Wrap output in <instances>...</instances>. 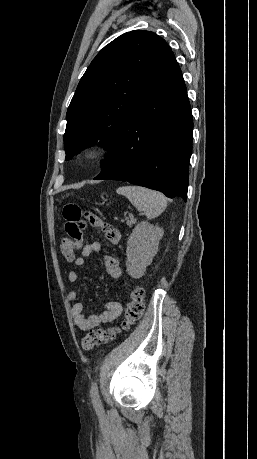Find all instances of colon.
Segmentation results:
<instances>
[{
	"instance_id": "1",
	"label": "colon",
	"mask_w": 257,
	"mask_h": 459,
	"mask_svg": "<svg viewBox=\"0 0 257 459\" xmlns=\"http://www.w3.org/2000/svg\"><path fill=\"white\" fill-rule=\"evenodd\" d=\"M67 227V225H65ZM82 229V228H80ZM76 250L74 244L70 239V236L64 238L61 243V253L63 257L72 261L76 256ZM144 290L137 286L130 292L129 301L126 306L125 316L120 324L116 327L97 329L88 332L81 341V346L84 350L89 351L95 346L107 343L116 338V336L122 331H127L130 327L139 321L144 314Z\"/></svg>"
}]
</instances>
